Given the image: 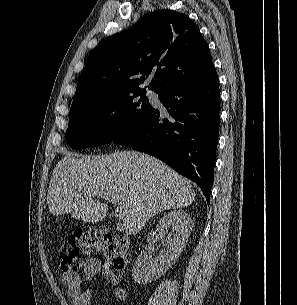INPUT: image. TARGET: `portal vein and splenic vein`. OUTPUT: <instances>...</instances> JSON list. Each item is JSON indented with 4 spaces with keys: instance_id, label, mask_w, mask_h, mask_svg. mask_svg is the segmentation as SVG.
<instances>
[{
    "instance_id": "18ae733b",
    "label": "portal vein and splenic vein",
    "mask_w": 297,
    "mask_h": 305,
    "mask_svg": "<svg viewBox=\"0 0 297 305\" xmlns=\"http://www.w3.org/2000/svg\"><path fill=\"white\" fill-rule=\"evenodd\" d=\"M95 195L98 196L99 198L105 199L109 202L114 201V198L108 193H95ZM115 215L118 218H123L125 216V209L122 205L116 207Z\"/></svg>"
}]
</instances>
